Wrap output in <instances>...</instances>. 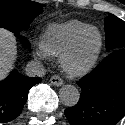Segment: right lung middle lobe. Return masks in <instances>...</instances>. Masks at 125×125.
<instances>
[{
  "mask_svg": "<svg viewBox=\"0 0 125 125\" xmlns=\"http://www.w3.org/2000/svg\"><path fill=\"white\" fill-rule=\"evenodd\" d=\"M42 12L43 5L34 1L0 0V27L19 34Z\"/></svg>",
  "mask_w": 125,
  "mask_h": 125,
  "instance_id": "right-lung-middle-lobe-1",
  "label": "right lung middle lobe"
}]
</instances>
